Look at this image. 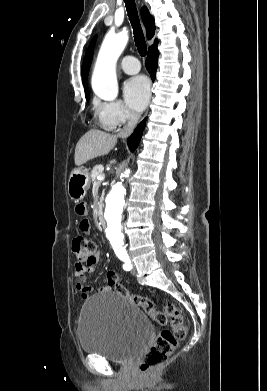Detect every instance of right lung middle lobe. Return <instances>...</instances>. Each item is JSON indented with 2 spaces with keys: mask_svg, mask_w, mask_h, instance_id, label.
Returning a JSON list of instances; mask_svg holds the SVG:
<instances>
[{
  "mask_svg": "<svg viewBox=\"0 0 267 391\" xmlns=\"http://www.w3.org/2000/svg\"><path fill=\"white\" fill-rule=\"evenodd\" d=\"M86 99L89 100V92H85Z\"/></svg>",
  "mask_w": 267,
  "mask_h": 391,
  "instance_id": "dd1d6c3e",
  "label": "right lung middle lobe"
}]
</instances>
